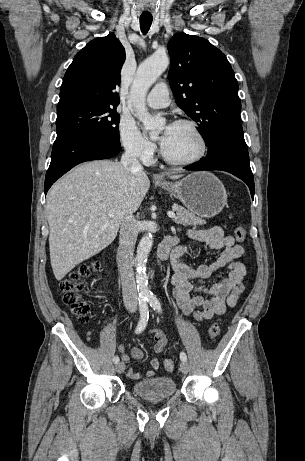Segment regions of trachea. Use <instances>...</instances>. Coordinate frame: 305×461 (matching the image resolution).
Segmentation results:
<instances>
[{
  "mask_svg": "<svg viewBox=\"0 0 305 461\" xmlns=\"http://www.w3.org/2000/svg\"><path fill=\"white\" fill-rule=\"evenodd\" d=\"M152 24V18L140 17V29L143 34H146Z\"/></svg>",
  "mask_w": 305,
  "mask_h": 461,
  "instance_id": "1",
  "label": "trachea"
}]
</instances>
